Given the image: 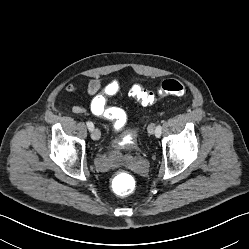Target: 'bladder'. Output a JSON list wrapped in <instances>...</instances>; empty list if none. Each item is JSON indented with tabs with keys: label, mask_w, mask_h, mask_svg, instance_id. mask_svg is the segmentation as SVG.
<instances>
[{
	"label": "bladder",
	"mask_w": 249,
	"mask_h": 249,
	"mask_svg": "<svg viewBox=\"0 0 249 249\" xmlns=\"http://www.w3.org/2000/svg\"><path fill=\"white\" fill-rule=\"evenodd\" d=\"M111 147L115 152L113 155L107 157L105 160H98L96 167L100 171H107L111 169L116 158H123L126 155L133 154L140 151V146L136 139L127 131L123 137L114 138L110 141Z\"/></svg>",
	"instance_id": "31cf9c89"
}]
</instances>
